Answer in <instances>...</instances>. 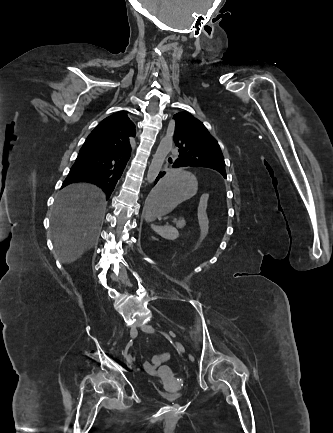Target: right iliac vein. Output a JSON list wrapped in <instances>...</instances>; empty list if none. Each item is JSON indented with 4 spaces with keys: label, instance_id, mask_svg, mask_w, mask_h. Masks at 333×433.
<instances>
[{
    "label": "right iliac vein",
    "instance_id": "63e3f726",
    "mask_svg": "<svg viewBox=\"0 0 333 433\" xmlns=\"http://www.w3.org/2000/svg\"><path fill=\"white\" fill-rule=\"evenodd\" d=\"M130 336H131L132 338H135V337L137 336V330H136L135 327H132V328L130 329ZM127 362L130 363V364L132 363V358H131L130 355H128Z\"/></svg>",
    "mask_w": 333,
    "mask_h": 433
}]
</instances>
